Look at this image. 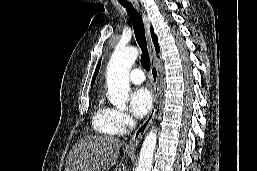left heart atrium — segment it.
Masks as SVG:
<instances>
[{"instance_id": "1", "label": "left heart atrium", "mask_w": 257, "mask_h": 171, "mask_svg": "<svg viewBox=\"0 0 257 171\" xmlns=\"http://www.w3.org/2000/svg\"><path fill=\"white\" fill-rule=\"evenodd\" d=\"M152 95L147 88L135 89L130 94V109L134 116L140 118L146 115L152 106Z\"/></svg>"}]
</instances>
